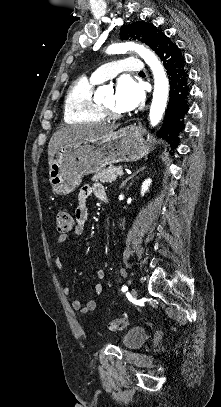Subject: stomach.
<instances>
[{"label": "stomach", "instance_id": "0dacf381", "mask_svg": "<svg viewBox=\"0 0 221 407\" xmlns=\"http://www.w3.org/2000/svg\"><path fill=\"white\" fill-rule=\"evenodd\" d=\"M150 151L151 146L144 140L142 129L136 126L66 144L56 152L49 164L52 191L67 195L81 184L84 175L113 163L137 161Z\"/></svg>", "mask_w": 221, "mask_h": 407}]
</instances>
